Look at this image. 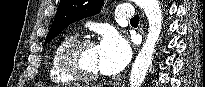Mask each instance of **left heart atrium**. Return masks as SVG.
I'll use <instances>...</instances> for the list:
<instances>
[{"label": "left heart atrium", "instance_id": "39dd6f15", "mask_svg": "<svg viewBox=\"0 0 205 87\" xmlns=\"http://www.w3.org/2000/svg\"><path fill=\"white\" fill-rule=\"evenodd\" d=\"M97 49L100 71L105 74L120 72L131 57L129 43L122 36L112 31L103 37Z\"/></svg>", "mask_w": 205, "mask_h": 87}]
</instances>
